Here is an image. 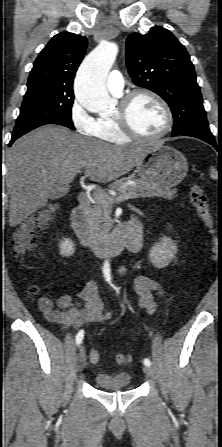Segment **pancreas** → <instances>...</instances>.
I'll return each instance as SVG.
<instances>
[{"label":"pancreas","mask_w":222,"mask_h":447,"mask_svg":"<svg viewBox=\"0 0 222 447\" xmlns=\"http://www.w3.org/2000/svg\"><path fill=\"white\" fill-rule=\"evenodd\" d=\"M129 181H134L136 185H127L123 189L122 187ZM109 187L119 195L130 193L134 198L162 197L171 200L177 192L176 189H163L158 185L147 183L134 176L117 180ZM109 198L114 197L103 190L93 194L94 206L89 210L86 221L88 233L94 240L100 239L111 229L112 220L108 215L113 203L109 201Z\"/></svg>","instance_id":"cf45deb5"}]
</instances>
